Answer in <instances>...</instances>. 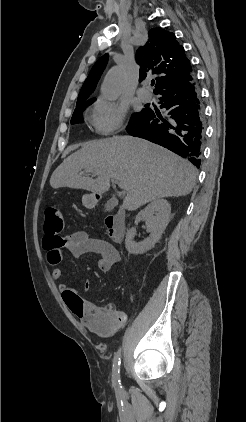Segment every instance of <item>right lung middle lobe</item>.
<instances>
[{"label": "right lung middle lobe", "mask_w": 246, "mask_h": 422, "mask_svg": "<svg viewBox=\"0 0 246 422\" xmlns=\"http://www.w3.org/2000/svg\"><path fill=\"white\" fill-rule=\"evenodd\" d=\"M94 101H92V102H88V103H85V104H82V105H80V106H77L76 107V109H75V111H74V113H73V115H72V118H71V123L72 124H75V123H82L83 122V117H82V113H83V111L89 106V105H91L92 103H93ZM145 112H146V109H143L141 112H139V113H134L132 116H131V119H130V122L129 123H132V122H134V121H136V120H138V119H140L144 114H145Z\"/></svg>", "instance_id": "1"}]
</instances>
